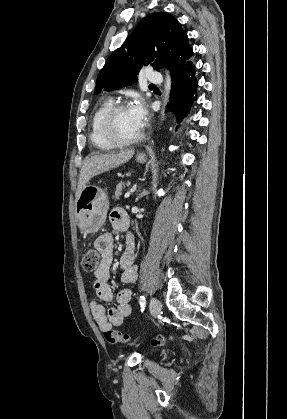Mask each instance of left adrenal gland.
<instances>
[{"label":"left adrenal gland","instance_id":"left-adrenal-gland-1","mask_svg":"<svg viewBox=\"0 0 287 419\" xmlns=\"http://www.w3.org/2000/svg\"><path fill=\"white\" fill-rule=\"evenodd\" d=\"M144 196V193H142V192H139V194H138V196H137V199L136 200H139L140 198H142Z\"/></svg>","mask_w":287,"mask_h":419}]
</instances>
